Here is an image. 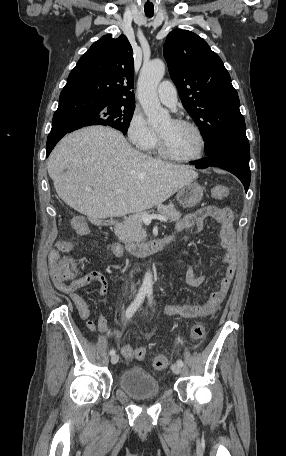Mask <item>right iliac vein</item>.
<instances>
[{"mask_svg":"<svg viewBox=\"0 0 286 456\" xmlns=\"http://www.w3.org/2000/svg\"><path fill=\"white\" fill-rule=\"evenodd\" d=\"M119 360V356L117 354H114L112 357H111V363L112 364H116Z\"/></svg>","mask_w":286,"mask_h":456,"instance_id":"right-iliac-vein-1","label":"right iliac vein"}]
</instances>
